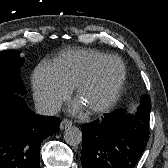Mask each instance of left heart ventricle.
Segmentation results:
<instances>
[{
    "label": "left heart ventricle",
    "instance_id": "left-heart-ventricle-1",
    "mask_svg": "<svg viewBox=\"0 0 168 168\" xmlns=\"http://www.w3.org/2000/svg\"><path fill=\"white\" fill-rule=\"evenodd\" d=\"M120 76V68L116 61L106 62L98 71L94 81L87 86L79 97L85 108L101 104L109 95Z\"/></svg>",
    "mask_w": 168,
    "mask_h": 168
}]
</instances>
